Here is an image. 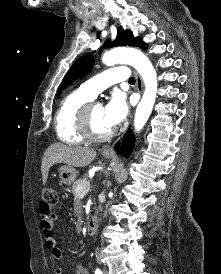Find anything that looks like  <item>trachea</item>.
Returning <instances> with one entry per match:
<instances>
[{"label": "trachea", "mask_w": 221, "mask_h": 274, "mask_svg": "<svg viewBox=\"0 0 221 274\" xmlns=\"http://www.w3.org/2000/svg\"><path fill=\"white\" fill-rule=\"evenodd\" d=\"M129 83H131V84L135 83V78H134V77H131V78L129 79Z\"/></svg>", "instance_id": "3493384b"}]
</instances>
